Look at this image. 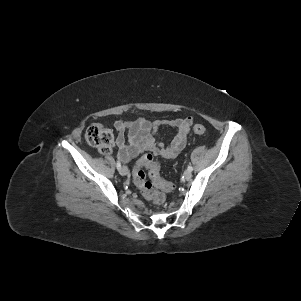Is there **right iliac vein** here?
<instances>
[{"label": "right iliac vein", "instance_id": "1", "mask_svg": "<svg viewBox=\"0 0 301 301\" xmlns=\"http://www.w3.org/2000/svg\"><path fill=\"white\" fill-rule=\"evenodd\" d=\"M120 174L126 176L128 174V168L126 166H122L119 170Z\"/></svg>", "mask_w": 301, "mask_h": 301}]
</instances>
